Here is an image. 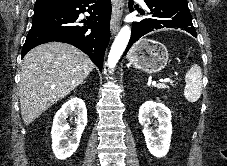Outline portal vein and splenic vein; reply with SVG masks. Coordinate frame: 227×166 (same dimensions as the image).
<instances>
[{
    "label": "portal vein and splenic vein",
    "instance_id": "1",
    "mask_svg": "<svg viewBox=\"0 0 227 166\" xmlns=\"http://www.w3.org/2000/svg\"><path fill=\"white\" fill-rule=\"evenodd\" d=\"M161 82H162V83H165V82H168V83H173V81H172L171 79H169V78L163 79V80H161ZM152 84H153V85H155V84H156V82H155V81H153V82H152Z\"/></svg>",
    "mask_w": 227,
    "mask_h": 166
}]
</instances>
